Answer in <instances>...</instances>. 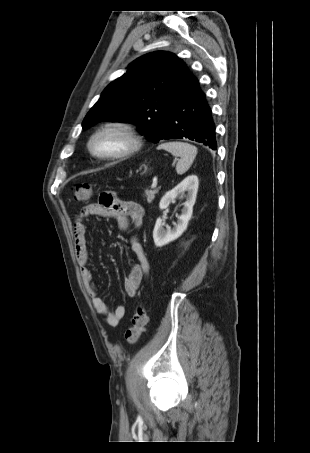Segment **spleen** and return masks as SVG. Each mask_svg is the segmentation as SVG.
<instances>
[{
    "label": "spleen",
    "instance_id": "1",
    "mask_svg": "<svg viewBox=\"0 0 310 453\" xmlns=\"http://www.w3.org/2000/svg\"><path fill=\"white\" fill-rule=\"evenodd\" d=\"M158 149L166 150L173 156L180 157L176 165V172L179 175L184 174L191 167L196 155V146L185 142H167L158 146Z\"/></svg>",
    "mask_w": 310,
    "mask_h": 453
}]
</instances>
